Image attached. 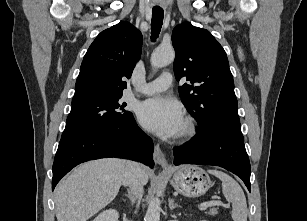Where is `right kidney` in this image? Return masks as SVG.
Wrapping results in <instances>:
<instances>
[{
    "instance_id": "right-kidney-1",
    "label": "right kidney",
    "mask_w": 307,
    "mask_h": 221,
    "mask_svg": "<svg viewBox=\"0 0 307 221\" xmlns=\"http://www.w3.org/2000/svg\"><path fill=\"white\" fill-rule=\"evenodd\" d=\"M119 214L115 209L101 212L93 221H118Z\"/></svg>"
}]
</instances>
